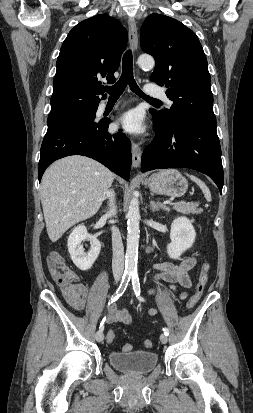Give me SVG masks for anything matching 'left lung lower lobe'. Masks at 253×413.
Returning a JSON list of instances; mask_svg holds the SVG:
<instances>
[{
	"instance_id": "obj_1",
	"label": "left lung lower lobe",
	"mask_w": 253,
	"mask_h": 413,
	"mask_svg": "<svg viewBox=\"0 0 253 413\" xmlns=\"http://www.w3.org/2000/svg\"><path fill=\"white\" fill-rule=\"evenodd\" d=\"M152 115L156 137L142 154V172L176 167L194 169L211 177L222 193L224 173L216 127L188 121L166 130L160 119Z\"/></svg>"
}]
</instances>
